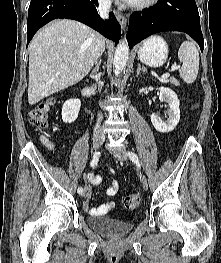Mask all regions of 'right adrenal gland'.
<instances>
[{"label": "right adrenal gland", "mask_w": 221, "mask_h": 263, "mask_svg": "<svg viewBox=\"0 0 221 263\" xmlns=\"http://www.w3.org/2000/svg\"><path fill=\"white\" fill-rule=\"evenodd\" d=\"M100 64H101V60L96 63V66H95V68L93 70V73H97L99 71Z\"/></svg>", "instance_id": "obj_1"}]
</instances>
